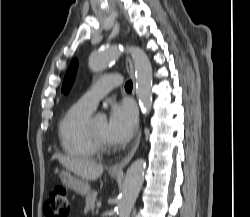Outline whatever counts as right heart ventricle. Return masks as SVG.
<instances>
[{"label":"right heart ventricle","instance_id":"right-heart-ventricle-1","mask_svg":"<svg viewBox=\"0 0 250 217\" xmlns=\"http://www.w3.org/2000/svg\"><path fill=\"white\" fill-rule=\"evenodd\" d=\"M93 109L80 100L71 104L58 125V137L62 150L71 157L92 158L97 149L86 132V122Z\"/></svg>","mask_w":250,"mask_h":217}]
</instances>
